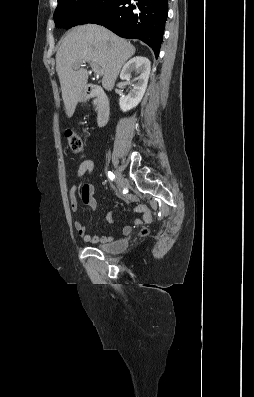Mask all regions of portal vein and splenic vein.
Listing matches in <instances>:
<instances>
[{
	"instance_id": "obj_1",
	"label": "portal vein and splenic vein",
	"mask_w": 254,
	"mask_h": 397,
	"mask_svg": "<svg viewBox=\"0 0 254 397\" xmlns=\"http://www.w3.org/2000/svg\"><path fill=\"white\" fill-rule=\"evenodd\" d=\"M80 66H83V64H78L75 66V68H79ZM90 66L92 67L94 73L99 76V75H103L104 71L102 68H100L96 63L91 62Z\"/></svg>"
}]
</instances>
